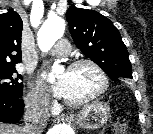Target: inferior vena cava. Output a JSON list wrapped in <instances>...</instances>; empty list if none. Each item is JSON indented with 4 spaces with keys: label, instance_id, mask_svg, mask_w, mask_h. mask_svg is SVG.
Masks as SVG:
<instances>
[{
    "label": "inferior vena cava",
    "instance_id": "inferior-vena-cava-1",
    "mask_svg": "<svg viewBox=\"0 0 153 134\" xmlns=\"http://www.w3.org/2000/svg\"><path fill=\"white\" fill-rule=\"evenodd\" d=\"M25 107L23 134H42L49 118L46 102L35 99L27 101Z\"/></svg>",
    "mask_w": 153,
    "mask_h": 134
}]
</instances>
